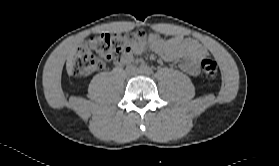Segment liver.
<instances>
[{"label": "liver", "mask_w": 279, "mask_h": 166, "mask_svg": "<svg viewBox=\"0 0 279 166\" xmlns=\"http://www.w3.org/2000/svg\"><path fill=\"white\" fill-rule=\"evenodd\" d=\"M75 55V49L70 50L67 56V62H66V70L68 75H72L73 72V57Z\"/></svg>", "instance_id": "obj_1"}]
</instances>
